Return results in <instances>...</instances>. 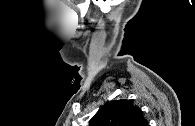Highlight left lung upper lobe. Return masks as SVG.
Listing matches in <instances>:
<instances>
[{
  "label": "left lung upper lobe",
  "instance_id": "left-lung-upper-lobe-1",
  "mask_svg": "<svg viewBox=\"0 0 195 126\" xmlns=\"http://www.w3.org/2000/svg\"><path fill=\"white\" fill-rule=\"evenodd\" d=\"M89 126H148L143 112L130 100L108 102L89 121Z\"/></svg>",
  "mask_w": 195,
  "mask_h": 126
}]
</instances>
